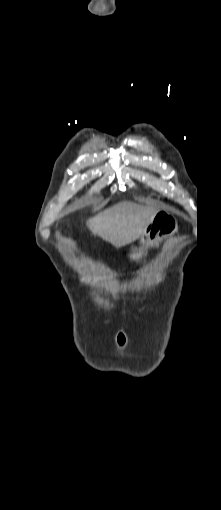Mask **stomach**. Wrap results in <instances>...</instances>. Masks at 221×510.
<instances>
[{"label": "stomach", "instance_id": "0dacf381", "mask_svg": "<svg viewBox=\"0 0 221 510\" xmlns=\"http://www.w3.org/2000/svg\"><path fill=\"white\" fill-rule=\"evenodd\" d=\"M177 231L178 221L176 217L168 212L159 211L141 236L140 246L130 249L128 255L130 260L139 262L146 255L149 246H157L164 238L174 235Z\"/></svg>", "mask_w": 221, "mask_h": 510}]
</instances>
